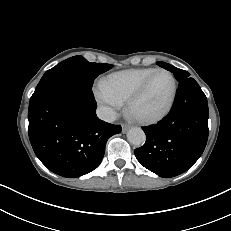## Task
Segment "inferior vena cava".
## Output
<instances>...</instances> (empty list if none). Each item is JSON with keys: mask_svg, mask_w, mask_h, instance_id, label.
Instances as JSON below:
<instances>
[{"mask_svg": "<svg viewBox=\"0 0 231 231\" xmlns=\"http://www.w3.org/2000/svg\"><path fill=\"white\" fill-rule=\"evenodd\" d=\"M99 119L106 122H113L117 118V113L110 107L100 106L96 110Z\"/></svg>", "mask_w": 231, "mask_h": 231, "instance_id": "602c4592", "label": "inferior vena cava"}]
</instances>
